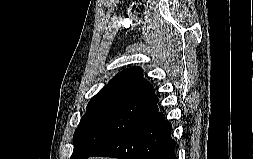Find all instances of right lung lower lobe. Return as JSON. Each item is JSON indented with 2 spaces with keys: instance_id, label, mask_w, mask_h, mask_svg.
<instances>
[{
  "instance_id": "98d812e1",
  "label": "right lung lower lobe",
  "mask_w": 253,
  "mask_h": 159,
  "mask_svg": "<svg viewBox=\"0 0 253 159\" xmlns=\"http://www.w3.org/2000/svg\"><path fill=\"white\" fill-rule=\"evenodd\" d=\"M172 125L158 109L118 137L99 147L90 156L120 159H177Z\"/></svg>"
}]
</instances>
